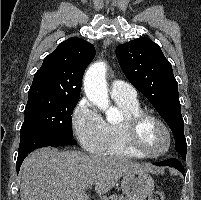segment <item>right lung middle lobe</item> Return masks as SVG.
<instances>
[{
	"label": "right lung middle lobe",
	"mask_w": 201,
	"mask_h": 200,
	"mask_svg": "<svg viewBox=\"0 0 201 200\" xmlns=\"http://www.w3.org/2000/svg\"><path fill=\"white\" fill-rule=\"evenodd\" d=\"M78 101L79 98L50 93H28L20 134L40 130L73 138L71 115Z\"/></svg>",
	"instance_id": "right-lung-middle-lobe-1"
}]
</instances>
